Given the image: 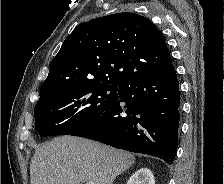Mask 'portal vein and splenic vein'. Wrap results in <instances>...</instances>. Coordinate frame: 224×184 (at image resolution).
I'll list each match as a JSON object with an SVG mask.
<instances>
[{
    "label": "portal vein and splenic vein",
    "mask_w": 224,
    "mask_h": 184,
    "mask_svg": "<svg viewBox=\"0 0 224 184\" xmlns=\"http://www.w3.org/2000/svg\"><path fill=\"white\" fill-rule=\"evenodd\" d=\"M86 184H95L93 181H88Z\"/></svg>",
    "instance_id": "portal-vein-and-splenic-vein-1"
}]
</instances>
